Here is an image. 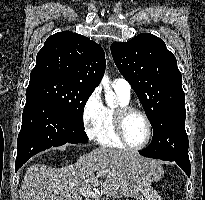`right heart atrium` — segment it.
Segmentation results:
<instances>
[{"mask_svg": "<svg viewBox=\"0 0 205 200\" xmlns=\"http://www.w3.org/2000/svg\"><path fill=\"white\" fill-rule=\"evenodd\" d=\"M104 105L99 89L93 90L82 107V123L86 136L90 140L97 139L104 119Z\"/></svg>", "mask_w": 205, "mask_h": 200, "instance_id": "right-heart-atrium-1", "label": "right heart atrium"}]
</instances>
